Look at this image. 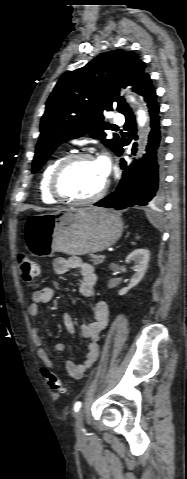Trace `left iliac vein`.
<instances>
[{
    "label": "left iliac vein",
    "mask_w": 187,
    "mask_h": 479,
    "mask_svg": "<svg viewBox=\"0 0 187 479\" xmlns=\"http://www.w3.org/2000/svg\"><path fill=\"white\" fill-rule=\"evenodd\" d=\"M83 420H84V413L83 411H79L76 415V432H77V436L80 437L82 432H83V429H84V423H83Z\"/></svg>",
    "instance_id": "4c4485c4"
}]
</instances>
